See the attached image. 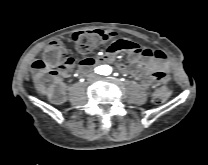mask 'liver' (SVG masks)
I'll return each instance as SVG.
<instances>
[{
  "mask_svg": "<svg viewBox=\"0 0 208 165\" xmlns=\"http://www.w3.org/2000/svg\"><path fill=\"white\" fill-rule=\"evenodd\" d=\"M40 88L43 89V86L41 85Z\"/></svg>",
  "mask_w": 208,
  "mask_h": 165,
  "instance_id": "1",
  "label": "liver"
}]
</instances>
